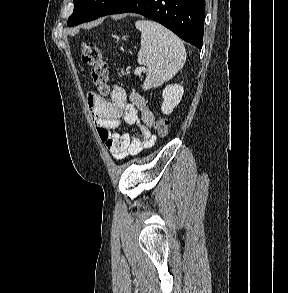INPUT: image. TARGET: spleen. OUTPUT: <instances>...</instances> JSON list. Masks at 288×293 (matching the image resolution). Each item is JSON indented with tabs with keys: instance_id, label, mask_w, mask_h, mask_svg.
I'll return each mask as SVG.
<instances>
[{
	"instance_id": "3e777b00",
	"label": "spleen",
	"mask_w": 288,
	"mask_h": 293,
	"mask_svg": "<svg viewBox=\"0 0 288 293\" xmlns=\"http://www.w3.org/2000/svg\"><path fill=\"white\" fill-rule=\"evenodd\" d=\"M141 32L138 63L147 66L145 90L158 87L171 79L183 67L186 50L182 41L164 26L150 20L135 23Z\"/></svg>"
}]
</instances>
